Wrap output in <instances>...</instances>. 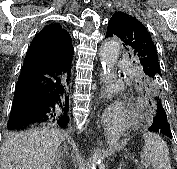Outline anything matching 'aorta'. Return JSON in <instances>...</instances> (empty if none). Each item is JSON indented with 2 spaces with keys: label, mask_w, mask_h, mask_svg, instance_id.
<instances>
[{
  "label": "aorta",
  "mask_w": 177,
  "mask_h": 169,
  "mask_svg": "<svg viewBox=\"0 0 177 169\" xmlns=\"http://www.w3.org/2000/svg\"><path fill=\"white\" fill-rule=\"evenodd\" d=\"M120 54V44L117 40H109L103 43L100 48V58L104 73H110ZM100 160V152L96 151L88 162L87 169H96V164Z\"/></svg>",
  "instance_id": "1"
}]
</instances>
